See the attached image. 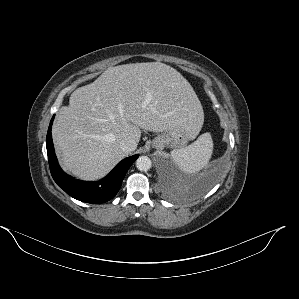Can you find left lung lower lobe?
<instances>
[{
  "label": "left lung lower lobe",
  "mask_w": 299,
  "mask_h": 299,
  "mask_svg": "<svg viewBox=\"0 0 299 299\" xmlns=\"http://www.w3.org/2000/svg\"><path fill=\"white\" fill-rule=\"evenodd\" d=\"M217 178V171L216 170H209L205 172L196 182L195 190L197 192L205 191L209 187L213 185Z\"/></svg>",
  "instance_id": "obj_1"
}]
</instances>
